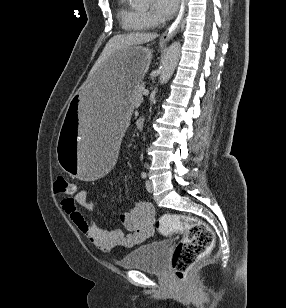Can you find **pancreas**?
<instances>
[{"label": "pancreas", "mask_w": 286, "mask_h": 308, "mask_svg": "<svg viewBox=\"0 0 286 308\" xmlns=\"http://www.w3.org/2000/svg\"><path fill=\"white\" fill-rule=\"evenodd\" d=\"M143 90H144V84L140 82L134 88L133 97L138 103H141L142 101Z\"/></svg>", "instance_id": "1"}]
</instances>
